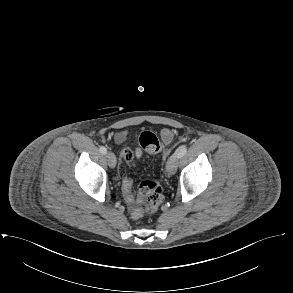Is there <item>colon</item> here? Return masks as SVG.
<instances>
[{
    "label": "colon",
    "mask_w": 293,
    "mask_h": 293,
    "mask_svg": "<svg viewBox=\"0 0 293 293\" xmlns=\"http://www.w3.org/2000/svg\"><path fill=\"white\" fill-rule=\"evenodd\" d=\"M141 147L149 154H157L162 151L163 145L159 138L151 131H143L139 137ZM133 183L130 179L123 182L122 190L127 197L131 207V216L134 219L140 218L144 214V210L139 206L143 203L149 205L150 211L156 210L163 202L164 188L153 180L144 179L139 183L136 196L132 193Z\"/></svg>",
    "instance_id": "5ec220e1"
}]
</instances>
